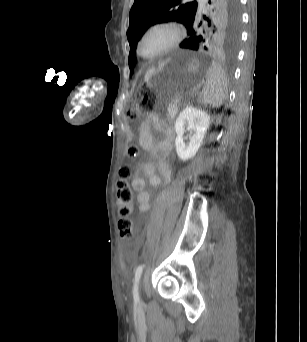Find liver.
I'll return each mask as SVG.
<instances>
[{"instance_id":"6515ba94","label":"liver","mask_w":307,"mask_h":342,"mask_svg":"<svg viewBox=\"0 0 307 342\" xmlns=\"http://www.w3.org/2000/svg\"><path fill=\"white\" fill-rule=\"evenodd\" d=\"M166 62H159V66L158 68H163V66H165ZM150 72H152V70H150Z\"/></svg>"}]
</instances>
